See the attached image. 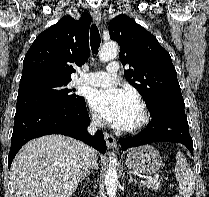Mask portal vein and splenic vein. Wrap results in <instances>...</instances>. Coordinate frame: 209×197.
<instances>
[{
    "instance_id": "1",
    "label": "portal vein and splenic vein",
    "mask_w": 209,
    "mask_h": 197,
    "mask_svg": "<svg viewBox=\"0 0 209 197\" xmlns=\"http://www.w3.org/2000/svg\"><path fill=\"white\" fill-rule=\"evenodd\" d=\"M147 182H148V183H156V182H158V176H155V177H153V178H149V179L147 180Z\"/></svg>"
}]
</instances>
